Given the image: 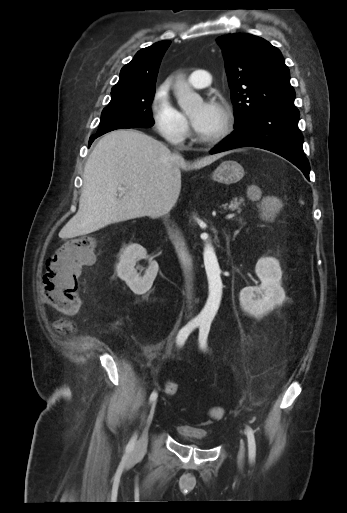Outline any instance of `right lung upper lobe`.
<instances>
[{
    "label": "right lung upper lobe",
    "instance_id": "cb5924a9",
    "mask_svg": "<svg viewBox=\"0 0 347 513\" xmlns=\"http://www.w3.org/2000/svg\"><path fill=\"white\" fill-rule=\"evenodd\" d=\"M170 43V40H163L138 51L121 69L119 81L112 91L155 86L162 57Z\"/></svg>",
    "mask_w": 347,
    "mask_h": 513
}]
</instances>
